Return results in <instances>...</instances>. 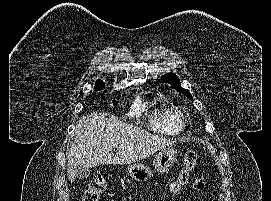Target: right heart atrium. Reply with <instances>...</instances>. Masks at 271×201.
Listing matches in <instances>:
<instances>
[{"label": "right heart atrium", "mask_w": 271, "mask_h": 201, "mask_svg": "<svg viewBox=\"0 0 271 201\" xmlns=\"http://www.w3.org/2000/svg\"><path fill=\"white\" fill-rule=\"evenodd\" d=\"M130 115H131V116L136 115V110H135V109H133V110L130 112Z\"/></svg>", "instance_id": "d8ad5b80"}]
</instances>
